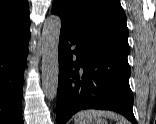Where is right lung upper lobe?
Wrapping results in <instances>:
<instances>
[{
  "label": "right lung upper lobe",
  "mask_w": 156,
  "mask_h": 124,
  "mask_svg": "<svg viewBox=\"0 0 156 124\" xmlns=\"http://www.w3.org/2000/svg\"><path fill=\"white\" fill-rule=\"evenodd\" d=\"M27 0H0V33L29 29Z\"/></svg>",
  "instance_id": "right-lung-upper-lobe-1"
}]
</instances>
